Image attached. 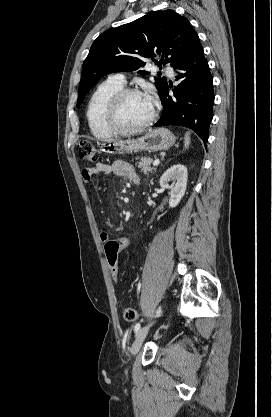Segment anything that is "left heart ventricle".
I'll use <instances>...</instances> for the list:
<instances>
[{"mask_svg":"<svg viewBox=\"0 0 272 417\" xmlns=\"http://www.w3.org/2000/svg\"><path fill=\"white\" fill-rule=\"evenodd\" d=\"M152 111L153 107L146 96H129L121 105L118 122L125 128L137 127L150 118Z\"/></svg>","mask_w":272,"mask_h":417,"instance_id":"1","label":"left heart ventricle"}]
</instances>
